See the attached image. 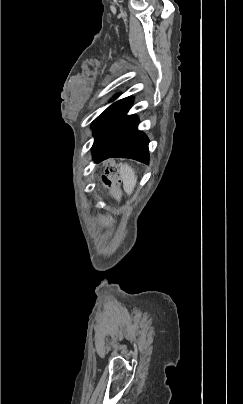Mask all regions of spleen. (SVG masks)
Returning a JSON list of instances; mask_svg holds the SVG:
<instances>
[{"instance_id":"spleen-1","label":"spleen","mask_w":243,"mask_h":404,"mask_svg":"<svg viewBox=\"0 0 243 404\" xmlns=\"http://www.w3.org/2000/svg\"><path fill=\"white\" fill-rule=\"evenodd\" d=\"M121 174L124 192H126L127 196H131L137 184L136 172H134L131 166H121Z\"/></svg>"}]
</instances>
